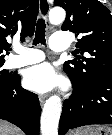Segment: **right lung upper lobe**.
<instances>
[{"label":"right lung upper lobe","instance_id":"obj_1","mask_svg":"<svg viewBox=\"0 0 112 135\" xmlns=\"http://www.w3.org/2000/svg\"><path fill=\"white\" fill-rule=\"evenodd\" d=\"M37 14L38 0H0V61H5L15 34L21 40L33 35Z\"/></svg>","mask_w":112,"mask_h":135}]
</instances>
